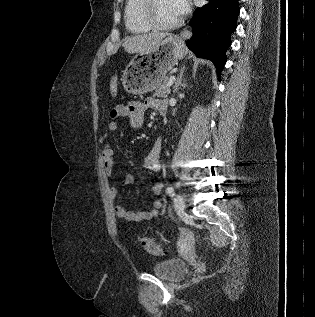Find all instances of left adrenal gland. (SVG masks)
<instances>
[{
    "label": "left adrenal gland",
    "instance_id": "obj_1",
    "mask_svg": "<svg viewBox=\"0 0 315 317\" xmlns=\"http://www.w3.org/2000/svg\"><path fill=\"white\" fill-rule=\"evenodd\" d=\"M182 76H183V69H181L180 74L175 82V85H174V92L175 93L178 91V88L182 83Z\"/></svg>",
    "mask_w": 315,
    "mask_h": 317
}]
</instances>
